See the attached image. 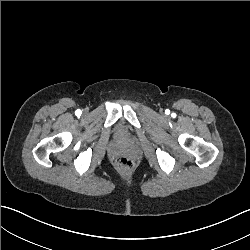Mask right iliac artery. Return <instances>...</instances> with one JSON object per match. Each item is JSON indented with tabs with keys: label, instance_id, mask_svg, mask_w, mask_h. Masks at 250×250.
<instances>
[{
	"label": "right iliac artery",
	"instance_id": "82829eb1",
	"mask_svg": "<svg viewBox=\"0 0 250 250\" xmlns=\"http://www.w3.org/2000/svg\"><path fill=\"white\" fill-rule=\"evenodd\" d=\"M82 114V111L80 110V109H77L76 111H75V115L76 116H80Z\"/></svg>",
	"mask_w": 250,
	"mask_h": 250
}]
</instances>
